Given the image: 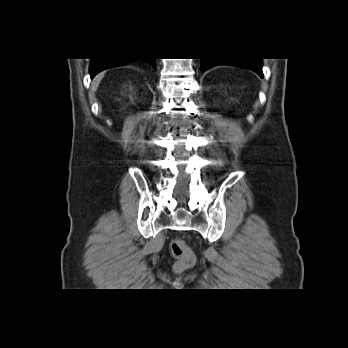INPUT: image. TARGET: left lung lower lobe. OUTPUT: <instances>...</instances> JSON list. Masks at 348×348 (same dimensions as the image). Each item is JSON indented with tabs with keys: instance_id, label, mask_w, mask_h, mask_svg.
<instances>
[{
	"instance_id": "left-lung-lower-lobe-1",
	"label": "left lung lower lobe",
	"mask_w": 348,
	"mask_h": 348,
	"mask_svg": "<svg viewBox=\"0 0 348 348\" xmlns=\"http://www.w3.org/2000/svg\"><path fill=\"white\" fill-rule=\"evenodd\" d=\"M234 65L250 69L256 72L260 77L262 75L261 59L254 58H233V59H215V58H201V70H207L216 65Z\"/></svg>"
}]
</instances>
